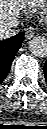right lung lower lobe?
Masks as SVG:
<instances>
[{"instance_id": "1", "label": "right lung lower lobe", "mask_w": 47, "mask_h": 129, "mask_svg": "<svg viewBox=\"0 0 47 129\" xmlns=\"http://www.w3.org/2000/svg\"><path fill=\"white\" fill-rule=\"evenodd\" d=\"M24 33L21 32L7 40L0 41V84L7 76L16 52L21 47Z\"/></svg>"}]
</instances>
